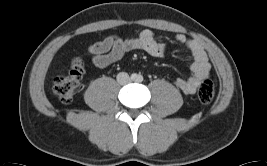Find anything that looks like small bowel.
<instances>
[{"instance_id":"c3829d8e","label":"small bowel","mask_w":267,"mask_h":166,"mask_svg":"<svg viewBox=\"0 0 267 166\" xmlns=\"http://www.w3.org/2000/svg\"><path fill=\"white\" fill-rule=\"evenodd\" d=\"M175 40L186 45L192 54L193 64L190 76L179 77L174 84L185 94H193L201 80L210 72L207 55L196 40L189 39L183 34H176ZM132 50H143L151 56L163 57L166 54L167 45L157 41L151 30L143 29L134 37L123 38L111 35L88 46L92 61L99 68H105L120 61L127 52Z\"/></svg>"}]
</instances>
